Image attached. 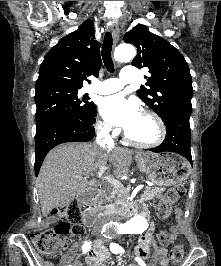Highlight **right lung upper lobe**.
Wrapping results in <instances>:
<instances>
[{
	"label": "right lung upper lobe",
	"instance_id": "obj_1",
	"mask_svg": "<svg viewBox=\"0 0 221 266\" xmlns=\"http://www.w3.org/2000/svg\"><path fill=\"white\" fill-rule=\"evenodd\" d=\"M99 48L94 22L86 20L46 54L35 89L53 86L80 89L84 80L90 83L87 77H98L102 64Z\"/></svg>",
	"mask_w": 221,
	"mask_h": 266
}]
</instances>
